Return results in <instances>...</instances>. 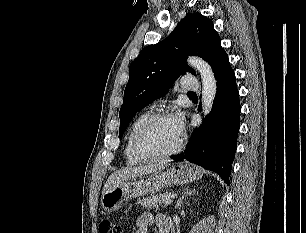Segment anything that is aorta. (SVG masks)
Returning <instances> with one entry per match:
<instances>
[{"instance_id": "obj_1", "label": "aorta", "mask_w": 306, "mask_h": 233, "mask_svg": "<svg viewBox=\"0 0 306 233\" xmlns=\"http://www.w3.org/2000/svg\"><path fill=\"white\" fill-rule=\"evenodd\" d=\"M187 62L200 73L202 80V110L204 114H208L212 109L217 91V82L213 70L206 61L198 57H189Z\"/></svg>"}]
</instances>
